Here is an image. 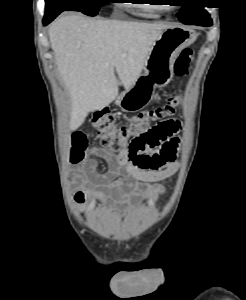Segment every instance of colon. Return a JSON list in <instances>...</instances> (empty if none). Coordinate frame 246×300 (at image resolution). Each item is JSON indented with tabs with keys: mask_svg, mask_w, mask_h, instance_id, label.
I'll return each instance as SVG.
<instances>
[{
	"mask_svg": "<svg viewBox=\"0 0 246 300\" xmlns=\"http://www.w3.org/2000/svg\"><path fill=\"white\" fill-rule=\"evenodd\" d=\"M191 51L183 50L174 63V73L184 76L188 73ZM181 104L179 95L171 96L165 105L143 111L133 116L126 125L116 123L115 114L109 110H100L91 117V125L97 130V136L103 146L112 148L127 147L132 153L140 155L139 164L143 167H157L162 158L156 151L172 140L180 129V122L165 118L173 115ZM152 122H158L151 126ZM73 163L81 162L87 145L82 133L73 136Z\"/></svg>",
	"mask_w": 246,
	"mask_h": 300,
	"instance_id": "1",
	"label": "colon"
}]
</instances>
